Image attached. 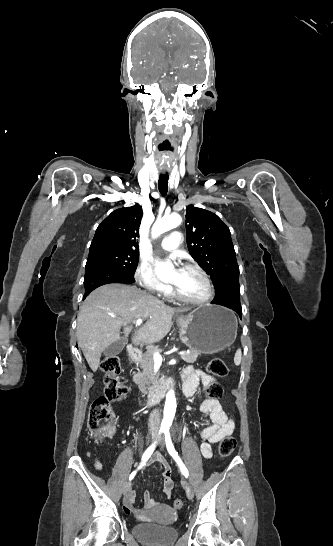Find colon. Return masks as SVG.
Wrapping results in <instances>:
<instances>
[{"instance_id": "1", "label": "colon", "mask_w": 333, "mask_h": 546, "mask_svg": "<svg viewBox=\"0 0 333 546\" xmlns=\"http://www.w3.org/2000/svg\"><path fill=\"white\" fill-rule=\"evenodd\" d=\"M101 369L105 373V395L92 402L89 408L88 429L96 438L109 435L113 432L117 420L112 411L111 404L122 400L127 394V387L120 374V362L116 356L105 357L101 362ZM207 371L214 377H225L229 373L227 364L220 358L212 359L207 364ZM208 399H218L222 395V389L216 382L210 383L205 388ZM237 441L232 435L225 436L219 444V455L230 456L235 450ZM175 509H182L183 501H174Z\"/></svg>"}]
</instances>
